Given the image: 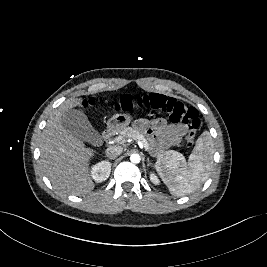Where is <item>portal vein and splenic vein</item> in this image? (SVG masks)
I'll return each instance as SVG.
<instances>
[{"mask_svg": "<svg viewBox=\"0 0 267 267\" xmlns=\"http://www.w3.org/2000/svg\"><path fill=\"white\" fill-rule=\"evenodd\" d=\"M114 142L115 143H118V144H122L125 142V140L121 137V136H118L114 139ZM138 145L140 148H144L146 150H148V145H147V142L145 140H138Z\"/></svg>", "mask_w": 267, "mask_h": 267, "instance_id": "obj_1", "label": "portal vein and splenic vein"}]
</instances>
